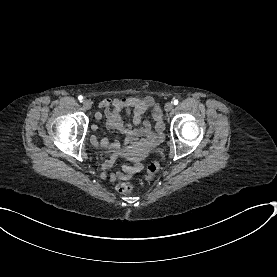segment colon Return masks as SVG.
I'll return each mask as SVG.
<instances>
[{"label": "colon", "instance_id": "obj_1", "mask_svg": "<svg viewBox=\"0 0 277 277\" xmlns=\"http://www.w3.org/2000/svg\"><path fill=\"white\" fill-rule=\"evenodd\" d=\"M159 163L153 162L147 167L146 175L149 178L154 177L159 171ZM116 190L120 193H127L133 190V184L130 181H122L116 184Z\"/></svg>", "mask_w": 277, "mask_h": 277}]
</instances>
